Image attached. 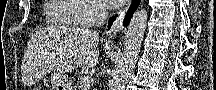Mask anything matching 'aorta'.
I'll return each instance as SVG.
<instances>
[{
    "label": "aorta",
    "instance_id": "762f6f07",
    "mask_svg": "<svg viewBox=\"0 0 216 90\" xmlns=\"http://www.w3.org/2000/svg\"><path fill=\"white\" fill-rule=\"evenodd\" d=\"M148 12L139 8L134 12L126 32L122 56L116 64L110 90H125L136 60H138L144 32L147 26Z\"/></svg>",
    "mask_w": 216,
    "mask_h": 90
}]
</instances>
